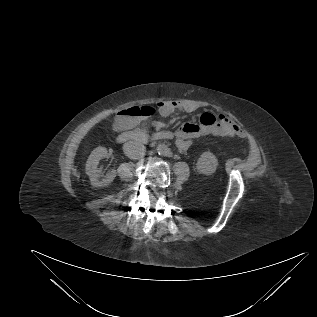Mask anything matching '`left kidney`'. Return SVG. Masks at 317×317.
I'll return each instance as SVG.
<instances>
[{
    "label": "left kidney",
    "mask_w": 317,
    "mask_h": 317,
    "mask_svg": "<svg viewBox=\"0 0 317 317\" xmlns=\"http://www.w3.org/2000/svg\"><path fill=\"white\" fill-rule=\"evenodd\" d=\"M218 160L210 151L203 152L197 160L196 169L205 175H210L216 171Z\"/></svg>",
    "instance_id": "obj_1"
}]
</instances>
